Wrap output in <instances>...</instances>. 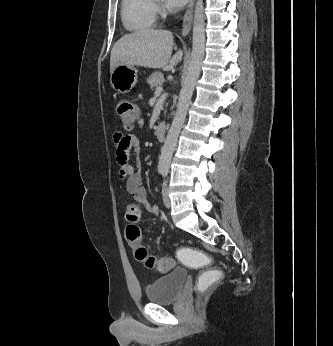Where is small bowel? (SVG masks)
<instances>
[{
    "label": "small bowel",
    "instance_id": "c3829d8e",
    "mask_svg": "<svg viewBox=\"0 0 333 346\" xmlns=\"http://www.w3.org/2000/svg\"><path fill=\"white\" fill-rule=\"evenodd\" d=\"M144 124L143 118L139 119V126ZM114 141L116 144V160L120 170V176L124 179L125 189L132 196L133 200L142 204L151 214H158L159 208L151 204L147 198V193L142 184L140 174V163L135 165L130 163V155L140 153V139L136 135H123L115 133Z\"/></svg>",
    "mask_w": 333,
    "mask_h": 346
}]
</instances>
